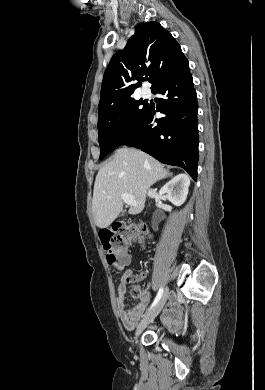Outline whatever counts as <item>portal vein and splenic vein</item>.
<instances>
[{
	"mask_svg": "<svg viewBox=\"0 0 265 390\" xmlns=\"http://www.w3.org/2000/svg\"><path fill=\"white\" fill-rule=\"evenodd\" d=\"M121 198L129 206H136L137 205V202H136L135 198L132 195L122 194Z\"/></svg>",
	"mask_w": 265,
	"mask_h": 390,
	"instance_id": "portal-vein-and-splenic-vein-1",
	"label": "portal vein and splenic vein"
}]
</instances>
